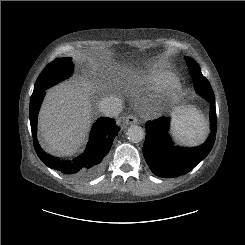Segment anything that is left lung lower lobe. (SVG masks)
I'll return each instance as SVG.
<instances>
[{"label": "left lung lower lobe", "mask_w": 245, "mask_h": 245, "mask_svg": "<svg viewBox=\"0 0 245 245\" xmlns=\"http://www.w3.org/2000/svg\"><path fill=\"white\" fill-rule=\"evenodd\" d=\"M202 95L211 104V133L207 141L200 147L185 149L173 146L167 133L170 127V117H160L146 123L143 154L155 175L168 178L184 175L200 163L212 149L217 132L215 96L212 90Z\"/></svg>", "instance_id": "1"}]
</instances>
